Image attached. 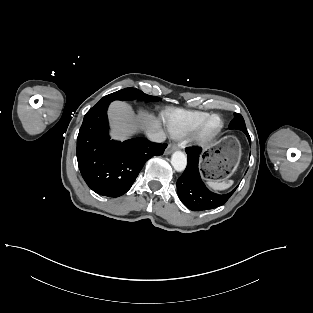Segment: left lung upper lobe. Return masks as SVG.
Instances as JSON below:
<instances>
[{"label":"left lung upper lobe","mask_w":313,"mask_h":313,"mask_svg":"<svg viewBox=\"0 0 313 313\" xmlns=\"http://www.w3.org/2000/svg\"><path fill=\"white\" fill-rule=\"evenodd\" d=\"M229 128L230 129H238V130H241L243 132L247 131L244 119H243L241 114L234 113V119L230 122Z\"/></svg>","instance_id":"5c2ea615"}]
</instances>
